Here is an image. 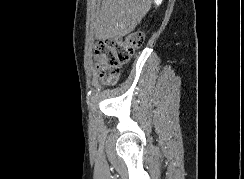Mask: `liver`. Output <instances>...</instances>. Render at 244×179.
Returning <instances> with one entry per match:
<instances>
[{
    "label": "liver",
    "instance_id": "1",
    "mask_svg": "<svg viewBox=\"0 0 244 179\" xmlns=\"http://www.w3.org/2000/svg\"><path fill=\"white\" fill-rule=\"evenodd\" d=\"M101 4L94 24L96 40L131 34L151 8V0H102Z\"/></svg>",
    "mask_w": 244,
    "mask_h": 179
}]
</instances>
